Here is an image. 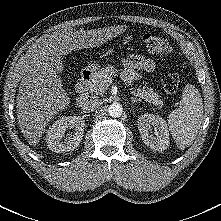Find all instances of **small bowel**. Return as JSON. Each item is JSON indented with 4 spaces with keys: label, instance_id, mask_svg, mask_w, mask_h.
I'll return each instance as SVG.
<instances>
[{
    "label": "small bowel",
    "instance_id": "obj_1",
    "mask_svg": "<svg viewBox=\"0 0 221 221\" xmlns=\"http://www.w3.org/2000/svg\"><path fill=\"white\" fill-rule=\"evenodd\" d=\"M123 76L128 82L140 79V71L153 72L156 70V63L150 58L141 55H131L123 60Z\"/></svg>",
    "mask_w": 221,
    "mask_h": 221
}]
</instances>
